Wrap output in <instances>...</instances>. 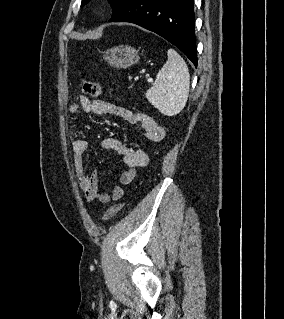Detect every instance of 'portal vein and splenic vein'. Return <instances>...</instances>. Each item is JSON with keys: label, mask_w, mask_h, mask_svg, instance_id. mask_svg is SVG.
I'll use <instances>...</instances> for the list:
<instances>
[{"label": "portal vein and splenic vein", "mask_w": 284, "mask_h": 319, "mask_svg": "<svg viewBox=\"0 0 284 319\" xmlns=\"http://www.w3.org/2000/svg\"><path fill=\"white\" fill-rule=\"evenodd\" d=\"M153 80L152 79H148V82H152Z\"/></svg>", "instance_id": "18ae733b"}]
</instances>
